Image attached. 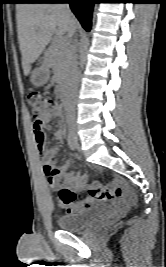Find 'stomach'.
Masks as SVG:
<instances>
[{"label": "stomach", "mask_w": 166, "mask_h": 267, "mask_svg": "<svg viewBox=\"0 0 166 267\" xmlns=\"http://www.w3.org/2000/svg\"><path fill=\"white\" fill-rule=\"evenodd\" d=\"M49 78L50 71L48 66L42 65L32 71L30 81L34 86H43L48 82Z\"/></svg>", "instance_id": "stomach-1"}]
</instances>
